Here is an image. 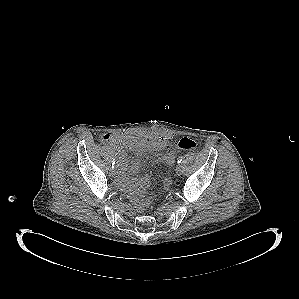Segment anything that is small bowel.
I'll return each instance as SVG.
<instances>
[{
  "label": "small bowel",
  "instance_id": "obj_1",
  "mask_svg": "<svg viewBox=\"0 0 299 299\" xmlns=\"http://www.w3.org/2000/svg\"><path fill=\"white\" fill-rule=\"evenodd\" d=\"M102 140L111 145L118 155L119 177L121 181L141 190L149 185V179L147 177H142L137 180L131 178L137 172L139 164L136 160L131 161L126 152L130 151L140 155L147 151H159L164 149L168 143V139L164 136H126L112 133L104 134ZM175 159L176 153L174 151H168L158 159V162L171 166L175 163ZM162 183L164 186H168L170 179L164 178Z\"/></svg>",
  "mask_w": 299,
  "mask_h": 299
}]
</instances>
